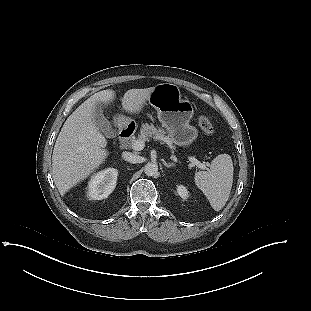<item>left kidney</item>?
I'll return each mask as SVG.
<instances>
[{
	"mask_svg": "<svg viewBox=\"0 0 311 311\" xmlns=\"http://www.w3.org/2000/svg\"><path fill=\"white\" fill-rule=\"evenodd\" d=\"M177 191H178L179 195H181L182 197H183V196H186V194H187V190H186V188H184V187H179V188L177 189Z\"/></svg>",
	"mask_w": 311,
	"mask_h": 311,
	"instance_id": "obj_1",
	"label": "left kidney"
}]
</instances>
